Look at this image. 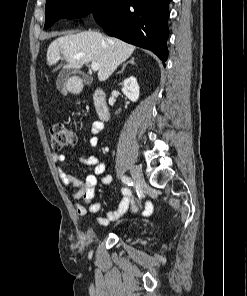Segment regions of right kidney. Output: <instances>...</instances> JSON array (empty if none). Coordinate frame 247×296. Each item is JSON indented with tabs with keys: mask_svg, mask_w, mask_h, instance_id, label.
I'll list each match as a JSON object with an SVG mask.
<instances>
[{
	"mask_svg": "<svg viewBox=\"0 0 247 296\" xmlns=\"http://www.w3.org/2000/svg\"><path fill=\"white\" fill-rule=\"evenodd\" d=\"M122 92L132 102H135L138 100L139 85L135 77L131 76L123 81Z\"/></svg>",
	"mask_w": 247,
	"mask_h": 296,
	"instance_id": "1",
	"label": "right kidney"
}]
</instances>
